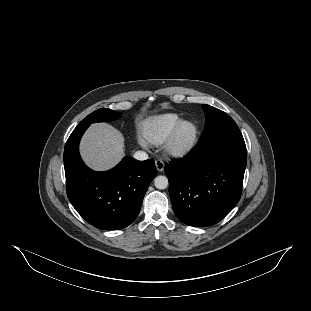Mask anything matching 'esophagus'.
<instances>
[{"instance_id":"34e87169","label":"esophagus","mask_w":311,"mask_h":311,"mask_svg":"<svg viewBox=\"0 0 311 311\" xmlns=\"http://www.w3.org/2000/svg\"><path fill=\"white\" fill-rule=\"evenodd\" d=\"M155 166L159 172H162L164 170L165 164L161 159H156Z\"/></svg>"}]
</instances>
